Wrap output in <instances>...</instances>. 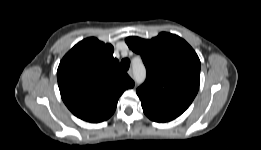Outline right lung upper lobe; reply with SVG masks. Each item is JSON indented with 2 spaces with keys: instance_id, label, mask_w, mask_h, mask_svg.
<instances>
[{
  "instance_id": "1",
  "label": "right lung upper lobe",
  "mask_w": 261,
  "mask_h": 150,
  "mask_svg": "<svg viewBox=\"0 0 261 150\" xmlns=\"http://www.w3.org/2000/svg\"><path fill=\"white\" fill-rule=\"evenodd\" d=\"M113 46L96 38L76 44L61 60L57 79L62 100L77 117L88 122L107 120L121 94L134 86Z\"/></svg>"
}]
</instances>
